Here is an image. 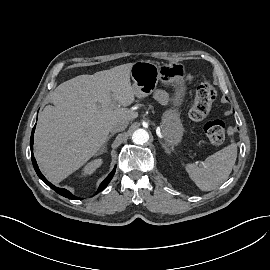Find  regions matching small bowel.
<instances>
[{"mask_svg": "<svg viewBox=\"0 0 270 270\" xmlns=\"http://www.w3.org/2000/svg\"><path fill=\"white\" fill-rule=\"evenodd\" d=\"M155 98H157L158 100L167 102L168 101V96L166 94V92L164 90L158 89L155 91L154 93Z\"/></svg>", "mask_w": 270, "mask_h": 270, "instance_id": "c3829d8e", "label": "small bowel"}]
</instances>
